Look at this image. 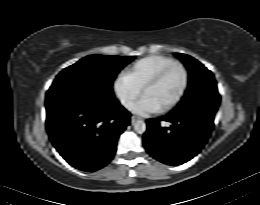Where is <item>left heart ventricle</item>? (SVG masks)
<instances>
[{
  "instance_id": "1",
  "label": "left heart ventricle",
  "mask_w": 260,
  "mask_h": 205,
  "mask_svg": "<svg viewBox=\"0 0 260 205\" xmlns=\"http://www.w3.org/2000/svg\"><path fill=\"white\" fill-rule=\"evenodd\" d=\"M184 83V74L180 69L169 72L157 85L146 92L159 107L167 105L180 92Z\"/></svg>"
}]
</instances>
